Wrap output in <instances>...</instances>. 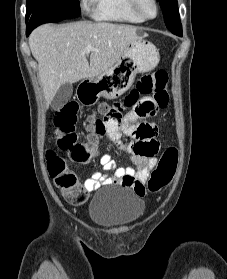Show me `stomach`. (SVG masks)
Masks as SVG:
<instances>
[{
  "instance_id": "stomach-1",
  "label": "stomach",
  "mask_w": 227,
  "mask_h": 279,
  "mask_svg": "<svg viewBox=\"0 0 227 279\" xmlns=\"http://www.w3.org/2000/svg\"><path fill=\"white\" fill-rule=\"evenodd\" d=\"M145 36L141 33L130 43L112 67L80 83L77 95L83 105H94L100 97L118 98L131 87L137 73L150 71L157 66L159 51Z\"/></svg>"
}]
</instances>
